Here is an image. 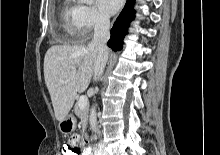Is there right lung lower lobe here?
Wrapping results in <instances>:
<instances>
[{"mask_svg":"<svg viewBox=\"0 0 220 155\" xmlns=\"http://www.w3.org/2000/svg\"><path fill=\"white\" fill-rule=\"evenodd\" d=\"M134 0H127L122 12L116 19L112 29L108 46L114 51L122 49L123 38L128 32L130 22L135 18Z\"/></svg>","mask_w":220,"mask_h":155,"instance_id":"right-lung-lower-lobe-1","label":"right lung lower lobe"}]
</instances>
